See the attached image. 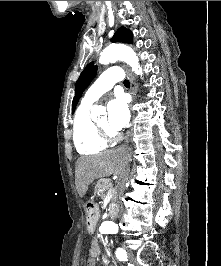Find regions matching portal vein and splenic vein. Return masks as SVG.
I'll return each instance as SVG.
<instances>
[{"instance_id":"portal-vein-and-splenic-vein-1","label":"portal vein and splenic vein","mask_w":221,"mask_h":266,"mask_svg":"<svg viewBox=\"0 0 221 266\" xmlns=\"http://www.w3.org/2000/svg\"><path fill=\"white\" fill-rule=\"evenodd\" d=\"M111 191H113V187L109 188V190H108V192H111Z\"/></svg>"}]
</instances>
